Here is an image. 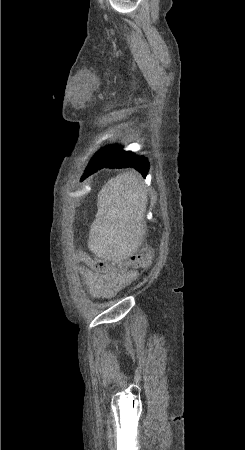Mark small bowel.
Listing matches in <instances>:
<instances>
[{"mask_svg":"<svg viewBox=\"0 0 245 450\" xmlns=\"http://www.w3.org/2000/svg\"><path fill=\"white\" fill-rule=\"evenodd\" d=\"M78 260L82 263L78 267V271L90 293L96 297L113 295L132 283L138 276V272L135 270L117 272L110 269L104 274H95L87 267L85 261L79 257Z\"/></svg>","mask_w":245,"mask_h":450,"instance_id":"1","label":"small bowel"}]
</instances>
